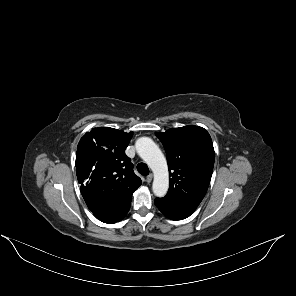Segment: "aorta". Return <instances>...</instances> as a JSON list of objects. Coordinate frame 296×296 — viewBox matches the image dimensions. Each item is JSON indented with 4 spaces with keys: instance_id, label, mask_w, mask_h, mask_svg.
Instances as JSON below:
<instances>
[{
    "instance_id": "762f6f07",
    "label": "aorta",
    "mask_w": 296,
    "mask_h": 296,
    "mask_svg": "<svg viewBox=\"0 0 296 296\" xmlns=\"http://www.w3.org/2000/svg\"><path fill=\"white\" fill-rule=\"evenodd\" d=\"M139 156L147 163L154 173L152 190L155 196L164 197L169 188L167 161L159 147L148 137L139 138L136 143Z\"/></svg>"
}]
</instances>
